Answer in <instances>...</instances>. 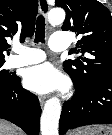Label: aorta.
Returning <instances> with one entry per match:
<instances>
[{
    "instance_id": "obj_1",
    "label": "aorta",
    "mask_w": 112,
    "mask_h": 135,
    "mask_svg": "<svg viewBox=\"0 0 112 135\" xmlns=\"http://www.w3.org/2000/svg\"><path fill=\"white\" fill-rule=\"evenodd\" d=\"M49 23L53 26L63 23L65 12L56 8L50 11ZM61 114V103L57 97L46 101L40 120L41 135H58V125Z\"/></svg>"
}]
</instances>
